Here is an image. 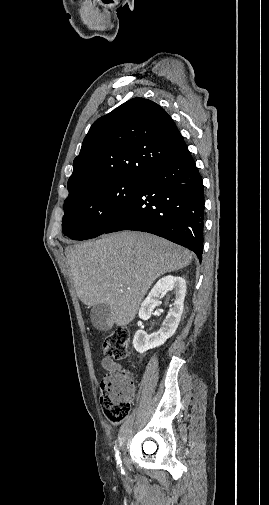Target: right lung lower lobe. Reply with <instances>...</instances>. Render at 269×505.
Segmentation results:
<instances>
[{"instance_id":"obj_1","label":"right lung lower lobe","mask_w":269,"mask_h":505,"mask_svg":"<svg viewBox=\"0 0 269 505\" xmlns=\"http://www.w3.org/2000/svg\"><path fill=\"white\" fill-rule=\"evenodd\" d=\"M204 186L186 149L151 169L136 194L104 232H149L192 250L202 260Z\"/></svg>"}]
</instances>
